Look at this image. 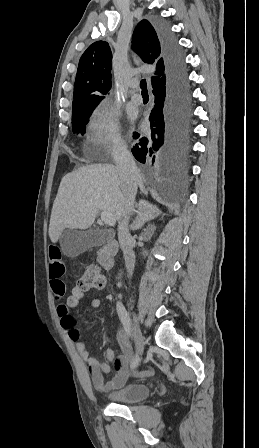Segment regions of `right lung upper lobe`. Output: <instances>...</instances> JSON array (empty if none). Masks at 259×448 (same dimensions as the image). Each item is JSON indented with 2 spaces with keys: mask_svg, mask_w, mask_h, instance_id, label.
Wrapping results in <instances>:
<instances>
[{
  "mask_svg": "<svg viewBox=\"0 0 259 448\" xmlns=\"http://www.w3.org/2000/svg\"><path fill=\"white\" fill-rule=\"evenodd\" d=\"M132 49L145 63L156 65L152 76L153 90L166 83L165 63L161 41L156 28L146 19L140 21L133 33ZM112 53L107 42L92 43L80 58L74 84L72 111L96 107L111 88Z\"/></svg>",
  "mask_w": 259,
  "mask_h": 448,
  "instance_id": "cb5924a9",
  "label": "right lung upper lobe"
}]
</instances>
